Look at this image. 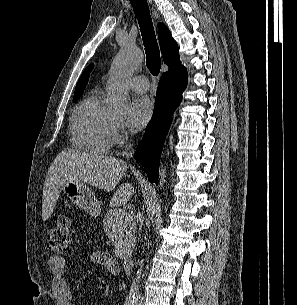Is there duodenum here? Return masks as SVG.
<instances>
[{
  "mask_svg": "<svg viewBox=\"0 0 297 305\" xmlns=\"http://www.w3.org/2000/svg\"><path fill=\"white\" fill-rule=\"evenodd\" d=\"M122 265H123L124 272L126 274H130L133 269V259L131 257H124L122 259Z\"/></svg>",
  "mask_w": 297,
  "mask_h": 305,
  "instance_id": "410a0bca",
  "label": "duodenum"
}]
</instances>
